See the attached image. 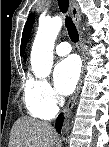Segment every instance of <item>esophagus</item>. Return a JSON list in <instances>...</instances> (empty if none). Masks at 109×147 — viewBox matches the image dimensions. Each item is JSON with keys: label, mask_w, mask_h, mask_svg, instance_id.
Wrapping results in <instances>:
<instances>
[{"label": "esophagus", "mask_w": 109, "mask_h": 147, "mask_svg": "<svg viewBox=\"0 0 109 147\" xmlns=\"http://www.w3.org/2000/svg\"><path fill=\"white\" fill-rule=\"evenodd\" d=\"M69 10H70V13L72 15V18H73V21L74 23L76 24L78 30L80 28L79 26V22H80V14H79V8H78V5H77V2L75 0H70L69 1ZM79 34H80V37H79V51L81 53V55L83 56V35H82V32L79 31ZM82 79L81 81L79 82L74 94L72 95V97L69 99L67 105H66V108H65V116L69 115V113L71 112L73 106H74V103H75V100L79 94V91H80V88H81V85H82Z\"/></svg>", "instance_id": "34e87169"}]
</instances>
